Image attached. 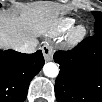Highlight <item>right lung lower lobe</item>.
<instances>
[{
	"label": "right lung lower lobe",
	"instance_id": "right-lung-lower-lobe-1",
	"mask_svg": "<svg viewBox=\"0 0 102 102\" xmlns=\"http://www.w3.org/2000/svg\"><path fill=\"white\" fill-rule=\"evenodd\" d=\"M44 65L42 52L24 54L13 50L0 51V100L23 102L30 81Z\"/></svg>",
	"mask_w": 102,
	"mask_h": 102
}]
</instances>
